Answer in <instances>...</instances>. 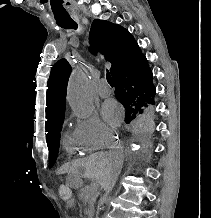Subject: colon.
I'll return each instance as SVG.
<instances>
[{
  "instance_id": "obj_1",
  "label": "colon",
  "mask_w": 211,
  "mask_h": 218,
  "mask_svg": "<svg viewBox=\"0 0 211 218\" xmlns=\"http://www.w3.org/2000/svg\"><path fill=\"white\" fill-rule=\"evenodd\" d=\"M59 197L64 201H69L72 199L71 189L67 185H61L59 187Z\"/></svg>"
}]
</instances>
